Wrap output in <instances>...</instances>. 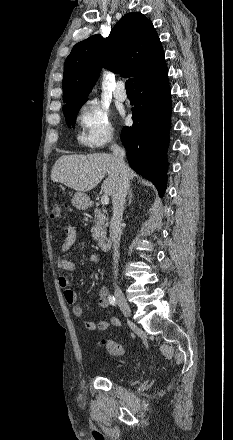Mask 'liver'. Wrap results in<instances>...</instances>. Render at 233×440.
I'll return each mask as SVG.
<instances>
[{
  "mask_svg": "<svg viewBox=\"0 0 233 440\" xmlns=\"http://www.w3.org/2000/svg\"><path fill=\"white\" fill-rule=\"evenodd\" d=\"M129 180L135 172L126 165ZM108 175L101 186L105 194L112 195L118 180L117 162L113 155L94 153L90 155H63L55 162L51 171V180L60 182L78 192L95 188Z\"/></svg>",
  "mask_w": 233,
  "mask_h": 440,
  "instance_id": "6515ba94",
  "label": "liver"
}]
</instances>
